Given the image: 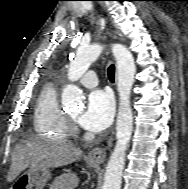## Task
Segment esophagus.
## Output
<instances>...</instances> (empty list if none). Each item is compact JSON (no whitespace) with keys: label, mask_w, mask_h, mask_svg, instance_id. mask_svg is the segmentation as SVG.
Segmentation results:
<instances>
[{"label":"esophagus","mask_w":188,"mask_h":189,"mask_svg":"<svg viewBox=\"0 0 188 189\" xmlns=\"http://www.w3.org/2000/svg\"><path fill=\"white\" fill-rule=\"evenodd\" d=\"M111 144H112V138L108 140L107 143L108 147H110ZM106 150L107 148H103V147H96L92 149L88 154V161L91 164H95V165L101 164L106 158Z\"/></svg>","instance_id":"obj_1"}]
</instances>
